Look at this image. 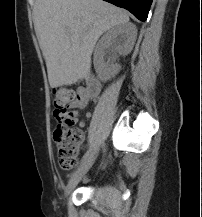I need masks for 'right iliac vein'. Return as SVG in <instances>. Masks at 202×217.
I'll list each match as a JSON object with an SVG mask.
<instances>
[{"label": "right iliac vein", "instance_id": "obj_1", "mask_svg": "<svg viewBox=\"0 0 202 217\" xmlns=\"http://www.w3.org/2000/svg\"><path fill=\"white\" fill-rule=\"evenodd\" d=\"M97 151L92 153V155L88 158V160L73 174L71 179L69 180L66 189H65V197L69 196V194L74 190V188L78 185L82 177L89 171L92 167L95 159L97 157Z\"/></svg>", "mask_w": 202, "mask_h": 217}]
</instances>
